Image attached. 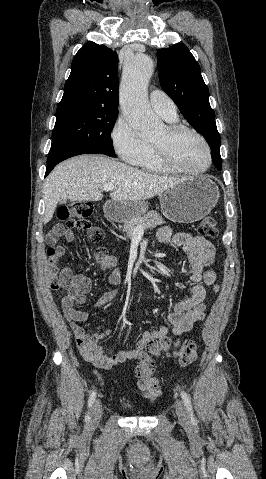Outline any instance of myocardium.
Here are the masks:
<instances>
[{
    "label": "myocardium",
    "mask_w": 266,
    "mask_h": 479,
    "mask_svg": "<svg viewBox=\"0 0 266 479\" xmlns=\"http://www.w3.org/2000/svg\"><path fill=\"white\" fill-rule=\"evenodd\" d=\"M165 131L167 137H172L176 134L182 133V132H189L193 134L195 137L199 139V141L202 143L205 152H206V157H207V162L206 165L199 170H187L181 167H178L172 158L170 157L168 153V148L166 145L165 141H155L152 140L153 147L155 149V153L157 156L158 161L161 163V165L169 172L173 173H178V174H185V175H201L206 173L212 164V152L211 148L209 146V143L205 139V137L198 132L196 129L185 125V124H180V123H169L165 126Z\"/></svg>",
    "instance_id": "1"
}]
</instances>
